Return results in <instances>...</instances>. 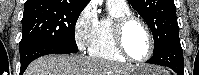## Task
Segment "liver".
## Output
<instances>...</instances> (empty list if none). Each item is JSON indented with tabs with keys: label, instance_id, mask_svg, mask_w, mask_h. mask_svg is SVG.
Wrapping results in <instances>:
<instances>
[{
	"label": "liver",
	"instance_id": "1",
	"mask_svg": "<svg viewBox=\"0 0 199 75\" xmlns=\"http://www.w3.org/2000/svg\"><path fill=\"white\" fill-rule=\"evenodd\" d=\"M133 70L84 55H48L34 60L24 75H130Z\"/></svg>",
	"mask_w": 199,
	"mask_h": 75
}]
</instances>
